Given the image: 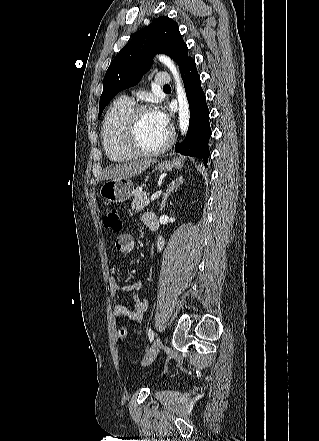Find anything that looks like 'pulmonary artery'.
<instances>
[{
    "label": "pulmonary artery",
    "instance_id": "obj_1",
    "mask_svg": "<svg viewBox=\"0 0 319 441\" xmlns=\"http://www.w3.org/2000/svg\"><path fill=\"white\" fill-rule=\"evenodd\" d=\"M154 82H155V85H156V86L164 87V86H166V85L169 84V82H170V76H169V74L166 73V72L158 73V74L156 75L155 79H154ZM129 99H130V98H129Z\"/></svg>",
    "mask_w": 319,
    "mask_h": 441
}]
</instances>
